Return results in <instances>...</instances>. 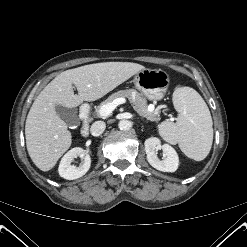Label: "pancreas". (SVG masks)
<instances>
[{
    "instance_id": "obj_1",
    "label": "pancreas",
    "mask_w": 247,
    "mask_h": 247,
    "mask_svg": "<svg viewBox=\"0 0 247 247\" xmlns=\"http://www.w3.org/2000/svg\"><path fill=\"white\" fill-rule=\"evenodd\" d=\"M120 97H127L132 103L134 110L137 111V113H139L141 116L155 118V114L148 111L147 100L142 97L141 94L138 93L135 89L120 90L113 93L105 101H103L100 106L96 107L95 112L99 115V109L102 105L111 103Z\"/></svg>"
}]
</instances>
